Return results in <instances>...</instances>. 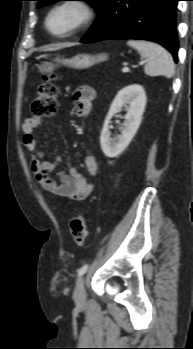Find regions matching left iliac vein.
Returning <instances> with one entry per match:
<instances>
[{
  "instance_id": "1",
  "label": "left iliac vein",
  "mask_w": 193,
  "mask_h": 349,
  "mask_svg": "<svg viewBox=\"0 0 193 349\" xmlns=\"http://www.w3.org/2000/svg\"><path fill=\"white\" fill-rule=\"evenodd\" d=\"M73 298L77 306L82 307L86 304V291L84 286V278L81 276L77 279L74 288Z\"/></svg>"
}]
</instances>
